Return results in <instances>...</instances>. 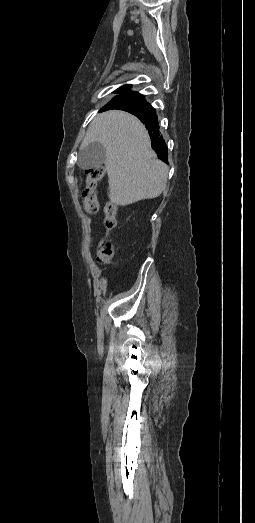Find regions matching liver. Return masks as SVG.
<instances>
[{"label": "liver", "instance_id": "6515ba94", "mask_svg": "<svg viewBox=\"0 0 255 523\" xmlns=\"http://www.w3.org/2000/svg\"><path fill=\"white\" fill-rule=\"evenodd\" d=\"M91 142H100L106 150L105 168L112 204L128 206L162 194L169 168L157 160L148 130L138 118L120 110L98 114L80 150Z\"/></svg>", "mask_w": 255, "mask_h": 523}]
</instances>
